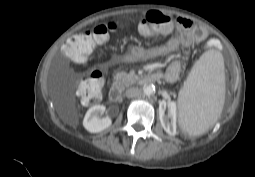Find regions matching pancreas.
Returning a JSON list of instances; mask_svg holds the SVG:
<instances>
[{
	"mask_svg": "<svg viewBox=\"0 0 255 177\" xmlns=\"http://www.w3.org/2000/svg\"><path fill=\"white\" fill-rule=\"evenodd\" d=\"M138 76L132 73L127 74L126 72L117 73L114 76V85H117L121 88L128 87L134 84L138 80Z\"/></svg>",
	"mask_w": 255,
	"mask_h": 177,
	"instance_id": "cf45deb5",
	"label": "pancreas"
}]
</instances>
